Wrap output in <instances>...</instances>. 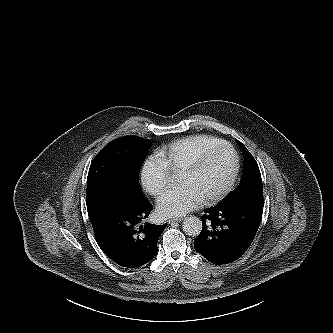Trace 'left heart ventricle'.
<instances>
[{
	"mask_svg": "<svg viewBox=\"0 0 333 333\" xmlns=\"http://www.w3.org/2000/svg\"><path fill=\"white\" fill-rule=\"evenodd\" d=\"M234 155L229 148H221L206 160L195 173L179 175L180 184L192 186L203 199L221 189L234 168Z\"/></svg>",
	"mask_w": 333,
	"mask_h": 333,
	"instance_id": "obj_1",
	"label": "left heart ventricle"
}]
</instances>
